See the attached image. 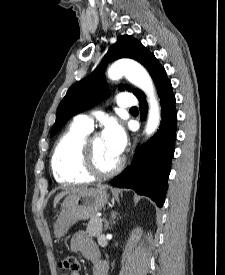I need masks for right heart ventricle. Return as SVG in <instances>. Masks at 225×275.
Segmentation results:
<instances>
[{
	"label": "right heart ventricle",
	"mask_w": 225,
	"mask_h": 275,
	"mask_svg": "<svg viewBox=\"0 0 225 275\" xmlns=\"http://www.w3.org/2000/svg\"><path fill=\"white\" fill-rule=\"evenodd\" d=\"M90 129L73 123L58 139L51 158L55 179L61 184H82L92 178L80 166V146Z\"/></svg>",
	"instance_id": "right-heart-ventricle-1"
}]
</instances>
